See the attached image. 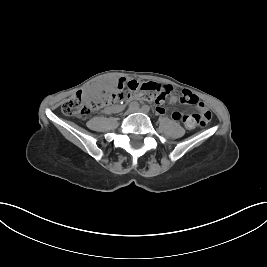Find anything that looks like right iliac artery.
Listing matches in <instances>:
<instances>
[{
    "label": "right iliac artery",
    "instance_id": "obj_1",
    "mask_svg": "<svg viewBox=\"0 0 267 267\" xmlns=\"http://www.w3.org/2000/svg\"><path fill=\"white\" fill-rule=\"evenodd\" d=\"M139 107V104L137 102H132L130 105H129V108L130 109H137Z\"/></svg>",
    "mask_w": 267,
    "mask_h": 267
}]
</instances>
